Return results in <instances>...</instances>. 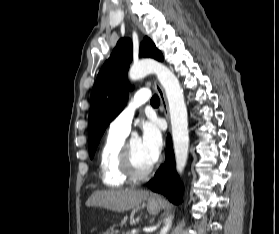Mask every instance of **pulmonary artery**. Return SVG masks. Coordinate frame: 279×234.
Wrapping results in <instances>:
<instances>
[{
  "mask_svg": "<svg viewBox=\"0 0 279 234\" xmlns=\"http://www.w3.org/2000/svg\"><path fill=\"white\" fill-rule=\"evenodd\" d=\"M149 99L150 94L148 93V91L140 90L136 92L130 99L129 103L111 122L110 131L127 134L130 130L131 121L133 119L136 108L147 102Z\"/></svg>",
  "mask_w": 279,
  "mask_h": 234,
  "instance_id": "obj_1",
  "label": "pulmonary artery"
}]
</instances>
